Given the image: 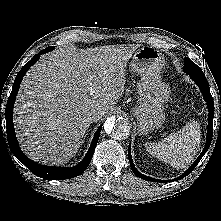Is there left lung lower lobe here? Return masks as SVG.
I'll list each match as a JSON object with an SVG mask.
<instances>
[{
  "instance_id": "obj_1",
  "label": "left lung lower lobe",
  "mask_w": 221,
  "mask_h": 221,
  "mask_svg": "<svg viewBox=\"0 0 221 221\" xmlns=\"http://www.w3.org/2000/svg\"><path fill=\"white\" fill-rule=\"evenodd\" d=\"M189 75L195 81V83L199 86V88H200V90L203 94V97H204L205 101L207 102V107H208V111H209L207 141H206V145H205L204 150L202 151L200 156L197 158V160L192 164V166L186 172H184L180 177H178L174 180H180V179L184 178L185 176H187L189 173L192 172V170L197 166V164L199 163L201 158L204 156V154L209 149L211 141H212V135H213L214 102H213V98L210 94V88H209L207 79H206L204 73H202V74L191 73ZM128 158H129L130 166H131V169H132L133 173L136 176H138L139 178H142V179L147 180V181L163 182V183L173 181V180H158V179L150 178V177H147V176L141 174L135 168V166L133 164L132 157H131L130 145L128 147Z\"/></svg>"
}]
</instances>
